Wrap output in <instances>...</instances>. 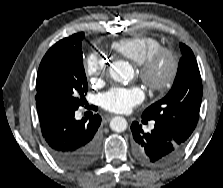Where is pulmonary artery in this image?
Here are the masks:
<instances>
[{
	"label": "pulmonary artery",
	"instance_id": "e3ab8cb5",
	"mask_svg": "<svg viewBox=\"0 0 223 188\" xmlns=\"http://www.w3.org/2000/svg\"><path fill=\"white\" fill-rule=\"evenodd\" d=\"M151 127L153 128V127H154V125L152 124V125H151Z\"/></svg>",
	"mask_w": 223,
	"mask_h": 188
}]
</instances>
